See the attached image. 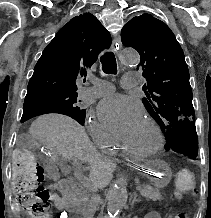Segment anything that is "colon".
<instances>
[{"mask_svg":"<svg viewBox=\"0 0 211 218\" xmlns=\"http://www.w3.org/2000/svg\"><path fill=\"white\" fill-rule=\"evenodd\" d=\"M13 186L29 218H51V202L48 190L42 185L44 169L37 155L30 149H19L12 161ZM195 174L182 169L176 175L177 192L180 195L194 191ZM175 218H187L178 214Z\"/></svg>","mask_w":211,"mask_h":218,"instance_id":"obj_1","label":"colon"}]
</instances>
